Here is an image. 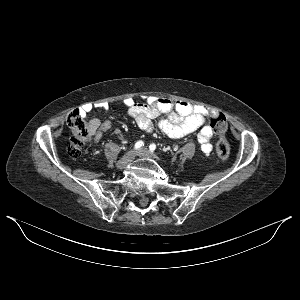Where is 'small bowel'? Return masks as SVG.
I'll return each instance as SVG.
<instances>
[{
  "instance_id": "small-bowel-1",
  "label": "small bowel",
  "mask_w": 300,
  "mask_h": 300,
  "mask_svg": "<svg viewBox=\"0 0 300 300\" xmlns=\"http://www.w3.org/2000/svg\"><path fill=\"white\" fill-rule=\"evenodd\" d=\"M122 103L127 108L128 115L142 131L151 133L158 128L171 138H180L197 131L201 150L204 153L211 152L214 134L212 128L205 124L206 117L213 112L211 107L156 96H148L144 102L126 98ZM94 108L108 110L109 105L86 103L81 107V113L86 115ZM161 115L165 117L158 119ZM110 126V120L102 121L93 117L89 120L90 135L98 140Z\"/></svg>"
}]
</instances>
